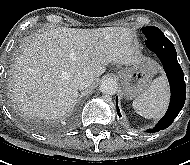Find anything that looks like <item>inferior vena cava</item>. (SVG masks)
Listing matches in <instances>:
<instances>
[{
	"label": "inferior vena cava",
	"mask_w": 190,
	"mask_h": 165,
	"mask_svg": "<svg viewBox=\"0 0 190 165\" xmlns=\"http://www.w3.org/2000/svg\"><path fill=\"white\" fill-rule=\"evenodd\" d=\"M77 89L82 90L92 85L94 77L88 73H77L73 78Z\"/></svg>",
	"instance_id": "obj_1"
}]
</instances>
